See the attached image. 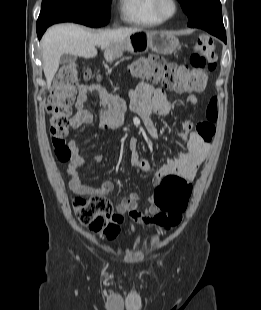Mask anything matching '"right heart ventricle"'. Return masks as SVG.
I'll return each mask as SVG.
<instances>
[{"instance_id": "right-heart-ventricle-1", "label": "right heart ventricle", "mask_w": 261, "mask_h": 310, "mask_svg": "<svg viewBox=\"0 0 261 310\" xmlns=\"http://www.w3.org/2000/svg\"><path fill=\"white\" fill-rule=\"evenodd\" d=\"M121 19L131 25L153 27L160 25V19L154 11L153 0H120Z\"/></svg>"}]
</instances>
